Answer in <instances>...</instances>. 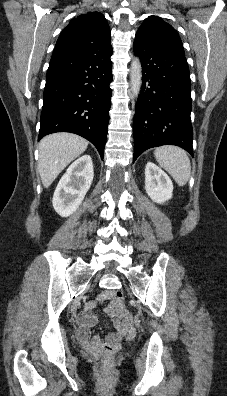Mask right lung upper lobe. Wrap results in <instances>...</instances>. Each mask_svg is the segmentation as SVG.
I'll return each mask as SVG.
<instances>
[{
    "label": "right lung upper lobe",
    "mask_w": 227,
    "mask_h": 396,
    "mask_svg": "<svg viewBox=\"0 0 227 396\" xmlns=\"http://www.w3.org/2000/svg\"><path fill=\"white\" fill-rule=\"evenodd\" d=\"M110 29L100 12H88L73 18L62 30L52 59L80 55L110 44Z\"/></svg>",
    "instance_id": "right-lung-upper-lobe-1"
}]
</instances>
